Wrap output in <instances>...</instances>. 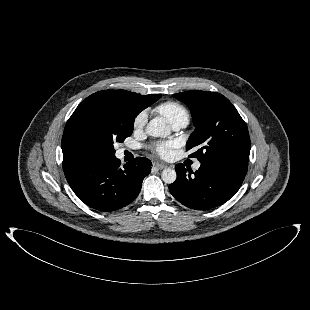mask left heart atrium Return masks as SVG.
<instances>
[{
	"instance_id": "obj_1",
	"label": "left heart atrium",
	"mask_w": 310,
	"mask_h": 310,
	"mask_svg": "<svg viewBox=\"0 0 310 310\" xmlns=\"http://www.w3.org/2000/svg\"><path fill=\"white\" fill-rule=\"evenodd\" d=\"M173 147V142H161L153 146V151L162 158H168L172 154Z\"/></svg>"
}]
</instances>
